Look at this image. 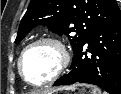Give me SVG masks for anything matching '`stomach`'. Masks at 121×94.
I'll return each mask as SVG.
<instances>
[{
    "label": "stomach",
    "instance_id": "1",
    "mask_svg": "<svg viewBox=\"0 0 121 94\" xmlns=\"http://www.w3.org/2000/svg\"><path fill=\"white\" fill-rule=\"evenodd\" d=\"M47 94H101V91L95 86L75 84L73 86L60 88Z\"/></svg>",
    "mask_w": 121,
    "mask_h": 94
}]
</instances>
